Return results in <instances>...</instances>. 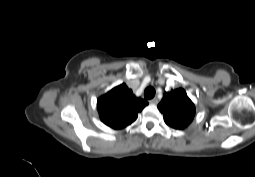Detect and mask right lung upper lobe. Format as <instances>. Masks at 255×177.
Returning a JSON list of instances; mask_svg holds the SVG:
<instances>
[{"mask_svg": "<svg viewBox=\"0 0 255 177\" xmlns=\"http://www.w3.org/2000/svg\"><path fill=\"white\" fill-rule=\"evenodd\" d=\"M148 102L136 97L126 84H121L97 101L101 121L113 129H122L136 120Z\"/></svg>", "mask_w": 255, "mask_h": 177, "instance_id": "obj_1", "label": "right lung upper lobe"}]
</instances>
